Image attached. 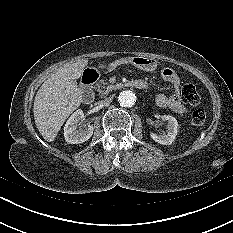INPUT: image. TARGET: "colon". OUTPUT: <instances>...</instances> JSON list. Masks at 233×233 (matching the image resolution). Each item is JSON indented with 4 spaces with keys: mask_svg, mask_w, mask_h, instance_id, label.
<instances>
[{
    "mask_svg": "<svg viewBox=\"0 0 233 233\" xmlns=\"http://www.w3.org/2000/svg\"><path fill=\"white\" fill-rule=\"evenodd\" d=\"M182 97L187 104L194 107L192 112L191 120L196 126H202L205 122V112L199 108L201 102V96L193 84H186L182 89Z\"/></svg>",
    "mask_w": 233,
    "mask_h": 233,
    "instance_id": "colon-1",
    "label": "colon"
}]
</instances>
